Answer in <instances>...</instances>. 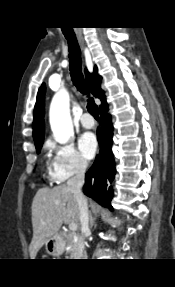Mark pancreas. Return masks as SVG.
<instances>
[{
  "mask_svg": "<svg viewBox=\"0 0 175 287\" xmlns=\"http://www.w3.org/2000/svg\"><path fill=\"white\" fill-rule=\"evenodd\" d=\"M68 246L69 252L72 258H76L81 255L82 241L78 238L75 233L68 234Z\"/></svg>",
  "mask_w": 175,
  "mask_h": 287,
  "instance_id": "obj_1",
  "label": "pancreas"
}]
</instances>
